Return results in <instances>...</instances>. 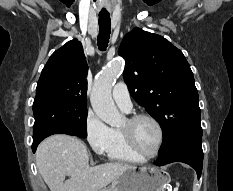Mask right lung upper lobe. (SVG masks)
I'll use <instances>...</instances> for the list:
<instances>
[{"instance_id": "cb5924a9", "label": "right lung upper lobe", "mask_w": 233, "mask_h": 191, "mask_svg": "<svg viewBox=\"0 0 233 191\" xmlns=\"http://www.w3.org/2000/svg\"><path fill=\"white\" fill-rule=\"evenodd\" d=\"M88 65L81 43L74 39L56 50L44 66L34 101L55 99L87 106Z\"/></svg>"}]
</instances>
